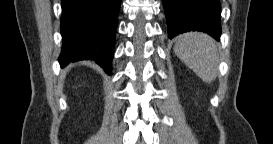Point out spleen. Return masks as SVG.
Returning <instances> with one entry per match:
<instances>
[{"instance_id":"3e777b00","label":"spleen","mask_w":273,"mask_h":144,"mask_svg":"<svg viewBox=\"0 0 273 144\" xmlns=\"http://www.w3.org/2000/svg\"><path fill=\"white\" fill-rule=\"evenodd\" d=\"M174 52L205 83L216 79L218 51L209 35L198 32L182 34L177 38Z\"/></svg>"}]
</instances>
